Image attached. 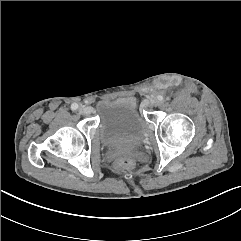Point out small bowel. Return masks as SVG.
<instances>
[{
	"mask_svg": "<svg viewBox=\"0 0 241 241\" xmlns=\"http://www.w3.org/2000/svg\"><path fill=\"white\" fill-rule=\"evenodd\" d=\"M128 100H129L130 102H133V99H132V98H129Z\"/></svg>",
	"mask_w": 241,
	"mask_h": 241,
	"instance_id": "c3829d8e",
	"label": "small bowel"
}]
</instances>
